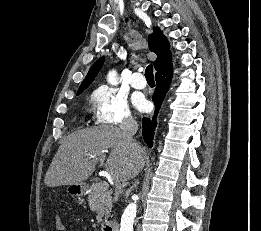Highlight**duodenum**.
<instances>
[{"label": "duodenum", "mask_w": 261, "mask_h": 231, "mask_svg": "<svg viewBox=\"0 0 261 231\" xmlns=\"http://www.w3.org/2000/svg\"><path fill=\"white\" fill-rule=\"evenodd\" d=\"M102 231H119V223L115 220L106 222L102 226Z\"/></svg>", "instance_id": "obj_1"}]
</instances>
